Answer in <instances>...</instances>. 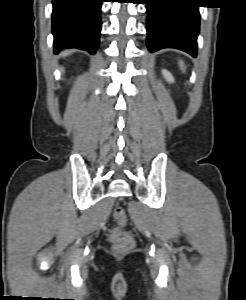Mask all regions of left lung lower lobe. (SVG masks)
Masks as SVG:
<instances>
[{"label":"left lung lower lobe","instance_id":"obj_1","mask_svg":"<svg viewBox=\"0 0 246 300\" xmlns=\"http://www.w3.org/2000/svg\"><path fill=\"white\" fill-rule=\"evenodd\" d=\"M195 0H146L150 52L177 48L196 57L199 11Z\"/></svg>","mask_w":246,"mask_h":300}]
</instances>
